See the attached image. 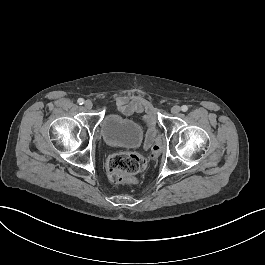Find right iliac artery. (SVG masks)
Masks as SVG:
<instances>
[{
	"label": "right iliac artery",
	"instance_id": "right-iliac-artery-1",
	"mask_svg": "<svg viewBox=\"0 0 265 265\" xmlns=\"http://www.w3.org/2000/svg\"><path fill=\"white\" fill-rule=\"evenodd\" d=\"M77 102L79 103V105H82L84 103V99L79 98Z\"/></svg>",
	"mask_w": 265,
	"mask_h": 265
}]
</instances>
